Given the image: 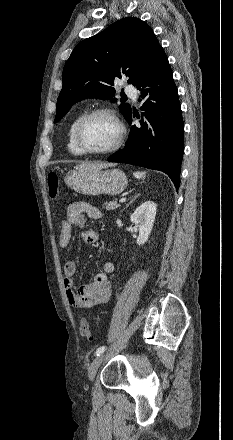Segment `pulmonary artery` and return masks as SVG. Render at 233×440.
Here are the masks:
<instances>
[{"label": "pulmonary artery", "mask_w": 233, "mask_h": 440, "mask_svg": "<svg viewBox=\"0 0 233 440\" xmlns=\"http://www.w3.org/2000/svg\"><path fill=\"white\" fill-rule=\"evenodd\" d=\"M126 92L132 97V98H136L137 97V89L134 86L128 85L126 87Z\"/></svg>", "instance_id": "obj_1"}]
</instances>
